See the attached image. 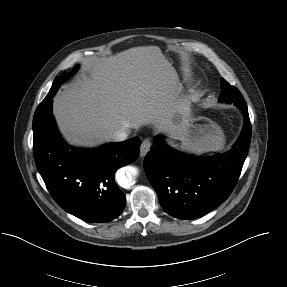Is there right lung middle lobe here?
<instances>
[{"mask_svg":"<svg viewBox=\"0 0 287 287\" xmlns=\"http://www.w3.org/2000/svg\"><path fill=\"white\" fill-rule=\"evenodd\" d=\"M77 68H78V67L76 66V67L72 70L71 73H69V74L63 73V74L60 75L57 79H55L54 82H53V85H52V87H51V89H50V91H49V93L47 94L46 97H48V96H50V95H54V94L56 93L58 87L60 86V83H61L63 80H65V79L69 78L70 76H72V75L77 71Z\"/></svg>","mask_w":287,"mask_h":287,"instance_id":"right-lung-middle-lobe-1","label":"right lung middle lobe"}]
</instances>
